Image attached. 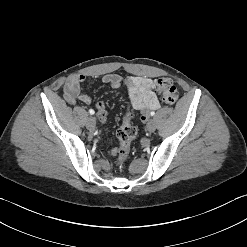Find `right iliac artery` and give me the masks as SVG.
<instances>
[{
	"instance_id": "obj_1",
	"label": "right iliac artery",
	"mask_w": 247,
	"mask_h": 247,
	"mask_svg": "<svg viewBox=\"0 0 247 247\" xmlns=\"http://www.w3.org/2000/svg\"><path fill=\"white\" fill-rule=\"evenodd\" d=\"M95 113V111L93 109L89 110V114L93 115Z\"/></svg>"
}]
</instances>
